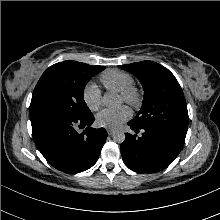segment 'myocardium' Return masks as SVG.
<instances>
[{
  "label": "myocardium",
  "mask_w": 220,
  "mask_h": 220,
  "mask_svg": "<svg viewBox=\"0 0 220 220\" xmlns=\"http://www.w3.org/2000/svg\"><path fill=\"white\" fill-rule=\"evenodd\" d=\"M119 93L123 98V101L134 109H139L141 107L143 102V93L138 87L132 85Z\"/></svg>",
  "instance_id": "f54148a6"
}]
</instances>
